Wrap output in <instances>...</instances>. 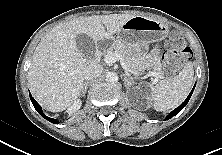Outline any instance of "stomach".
Masks as SVG:
<instances>
[{
	"mask_svg": "<svg viewBox=\"0 0 222 155\" xmlns=\"http://www.w3.org/2000/svg\"><path fill=\"white\" fill-rule=\"evenodd\" d=\"M169 28L166 24L143 16H134L125 23L117 34L116 42H120L126 46H137L141 44L157 43L167 37ZM137 58H143L142 53L135 51ZM148 67L144 64L134 68L136 75L132 77L136 79L138 75L143 74Z\"/></svg>",
	"mask_w": 222,
	"mask_h": 155,
	"instance_id": "stomach-1",
	"label": "stomach"
}]
</instances>
